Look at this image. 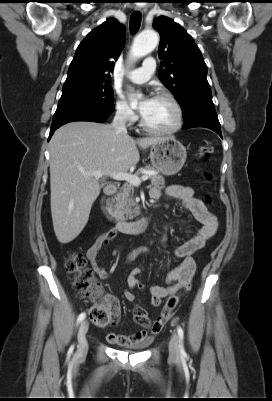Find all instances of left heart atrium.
Wrapping results in <instances>:
<instances>
[{
  "instance_id": "obj_1",
  "label": "left heart atrium",
  "mask_w": 272,
  "mask_h": 401,
  "mask_svg": "<svg viewBox=\"0 0 272 401\" xmlns=\"http://www.w3.org/2000/svg\"><path fill=\"white\" fill-rule=\"evenodd\" d=\"M153 98L147 97L144 99V101L141 103V106L139 108L140 114L143 115L146 110L148 109L149 105L151 104Z\"/></svg>"
}]
</instances>
